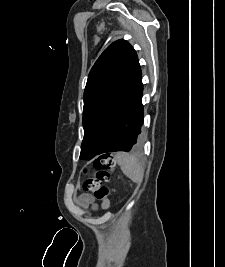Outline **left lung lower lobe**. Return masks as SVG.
Wrapping results in <instances>:
<instances>
[{
  "mask_svg": "<svg viewBox=\"0 0 225 267\" xmlns=\"http://www.w3.org/2000/svg\"><path fill=\"white\" fill-rule=\"evenodd\" d=\"M141 77L139 65L122 98L110 136L99 154L114 151L128 152L137 146L143 125V84Z\"/></svg>",
  "mask_w": 225,
  "mask_h": 267,
  "instance_id": "0a47b994",
  "label": "left lung lower lobe"
}]
</instances>
